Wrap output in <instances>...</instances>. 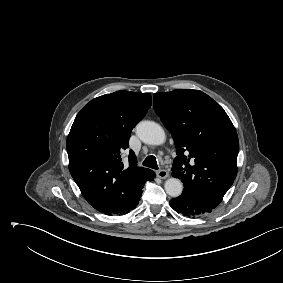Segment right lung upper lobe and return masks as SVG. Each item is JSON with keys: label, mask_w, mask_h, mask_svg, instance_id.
Wrapping results in <instances>:
<instances>
[{"label": "right lung upper lobe", "mask_w": 283, "mask_h": 283, "mask_svg": "<svg viewBox=\"0 0 283 283\" xmlns=\"http://www.w3.org/2000/svg\"><path fill=\"white\" fill-rule=\"evenodd\" d=\"M150 106L148 93L117 91L87 103L71 127L66 144L70 173L88 203L104 214L133 209L153 173L137 166L132 150L127 166L121 159L132 129Z\"/></svg>", "instance_id": "right-lung-upper-lobe-1"}]
</instances>
